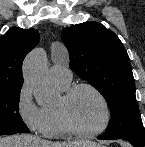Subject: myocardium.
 Segmentation results:
<instances>
[{
  "label": "myocardium",
  "mask_w": 145,
  "mask_h": 147,
  "mask_svg": "<svg viewBox=\"0 0 145 147\" xmlns=\"http://www.w3.org/2000/svg\"><path fill=\"white\" fill-rule=\"evenodd\" d=\"M81 89H88L92 91L102 102L104 109H105V120L103 125L95 130L92 131H84L78 128L74 122L72 121L69 115V103L76 95V93ZM57 110L61 119L62 124L66 128V130L78 137L81 138H92L97 135L103 133L110 125L112 119V111L110 104L105 97V95L94 85L89 83H77L71 85L66 91H64L63 95L61 96L59 102L57 103Z\"/></svg>",
  "instance_id": "1"
}]
</instances>
